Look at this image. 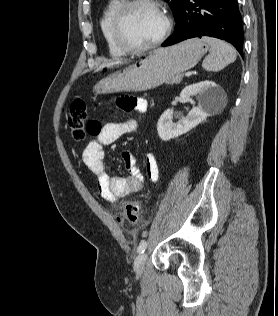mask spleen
Instances as JSON below:
<instances>
[{
	"label": "spleen",
	"mask_w": 278,
	"mask_h": 316,
	"mask_svg": "<svg viewBox=\"0 0 278 316\" xmlns=\"http://www.w3.org/2000/svg\"><path fill=\"white\" fill-rule=\"evenodd\" d=\"M210 45V54L204 59L202 67L207 71H219L236 60V51L228 43L213 37L201 39Z\"/></svg>",
	"instance_id": "obj_1"
}]
</instances>
